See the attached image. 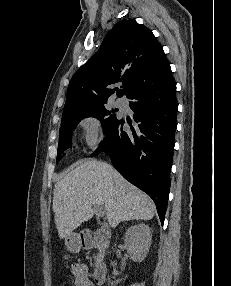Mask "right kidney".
<instances>
[{
    "label": "right kidney",
    "instance_id": "obj_1",
    "mask_svg": "<svg viewBox=\"0 0 231 286\" xmlns=\"http://www.w3.org/2000/svg\"><path fill=\"white\" fill-rule=\"evenodd\" d=\"M151 240L152 233L148 225L141 223L128 228L125 232V246L130 258L135 262L143 261L149 252ZM120 281L111 282L109 279L108 283L115 286Z\"/></svg>",
    "mask_w": 231,
    "mask_h": 286
}]
</instances>
